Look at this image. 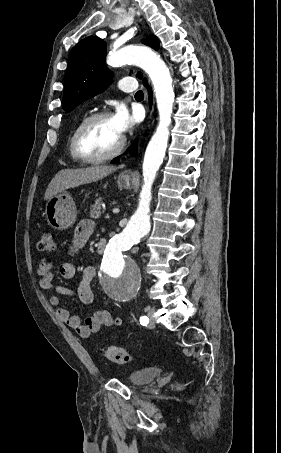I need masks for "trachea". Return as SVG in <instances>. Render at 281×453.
<instances>
[{"mask_svg": "<svg viewBox=\"0 0 281 453\" xmlns=\"http://www.w3.org/2000/svg\"><path fill=\"white\" fill-rule=\"evenodd\" d=\"M135 97H144L142 90H139L137 93H135Z\"/></svg>", "mask_w": 281, "mask_h": 453, "instance_id": "obj_1", "label": "trachea"}]
</instances>
